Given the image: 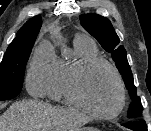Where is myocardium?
I'll use <instances>...</instances> for the list:
<instances>
[{
	"label": "myocardium",
	"instance_id": "obj_1",
	"mask_svg": "<svg viewBox=\"0 0 151 131\" xmlns=\"http://www.w3.org/2000/svg\"><path fill=\"white\" fill-rule=\"evenodd\" d=\"M97 66H105L113 74L119 89V103L111 113H101L94 110L86 101L82 92V83L88 73ZM66 93L69 101L88 113L89 115L103 120L114 119L121 114L126 103V88L118 70L107 60L94 57L80 64L69 77L66 84Z\"/></svg>",
	"mask_w": 151,
	"mask_h": 131
}]
</instances>
